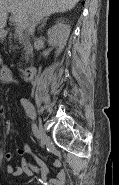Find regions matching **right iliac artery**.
I'll return each instance as SVG.
<instances>
[{
    "mask_svg": "<svg viewBox=\"0 0 119 185\" xmlns=\"http://www.w3.org/2000/svg\"><path fill=\"white\" fill-rule=\"evenodd\" d=\"M21 104L24 107V109L28 115V118H31L30 120L34 121L35 120L34 118H37V115H36V113H34V108H33L32 104L29 102V100L22 98ZM32 132L37 139H40V135H39V132H38L36 125L32 126Z\"/></svg>",
    "mask_w": 119,
    "mask_h": 185,
    "instance_id": "right-iliac-artery-1",
    "label": "right iliac artery"
}]
</instances>
